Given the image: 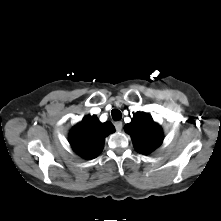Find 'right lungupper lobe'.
Wrapping results in <instances>:
<instances>
[{
    "mask_svg": "<svg viewBox=\"0 0 221 221\" xmlns=\"http://www.w3.org/2000/svg\"><path fill=\"white\" fill-rule=\"evenodd\" d=\"M114 131L111 122L101 123L96 116H86L71 130L69 142L80 156L91 159L103 150L105 137Z\"/></svg>",
    "mask_w": 221,
    "mask_h": 221,
    "instance_id": "right-lung-upper-lobe-1",
    "label": "right lung upper lobe"
}]
</instances>
